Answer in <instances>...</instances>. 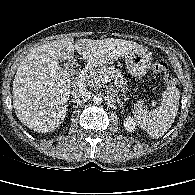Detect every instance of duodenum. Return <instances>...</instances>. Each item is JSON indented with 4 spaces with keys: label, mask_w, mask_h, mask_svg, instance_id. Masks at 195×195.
<instances>
[{
    "label": "duodenum",
    "mask_w": 195,
    "mask_h": 195,
    "mask_svg": "<svg viewBox=\"0 0 195 195\" xmlns=\"http://www.w3.org/2000/svg\"><path fill=\"white\" fill-rule=\"evenodd\" d=\"M89 70V66H85L82 71H81V74H80V78L78 80V86L81 84L82 82V77L84 76V74Z\"/></svg>",
    "instance_id": "410a0bca"
}]
</instances>
